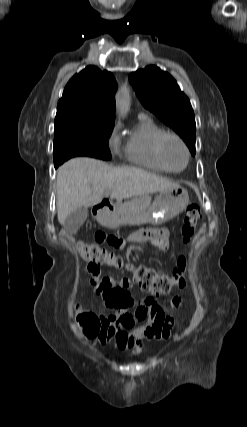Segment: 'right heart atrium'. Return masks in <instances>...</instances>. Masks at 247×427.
<instances>
[{"instance_id": "right-heart-atrium-1", "label": "right heart atrium", "mask_w": 247, "mask_h": 427, "mask_svg": "<svg viewBox=\"0 0 247 427\" xmlns=\"http://www.w3.org/2000/svg\"><path fill=\"white\" fill-rule=\"evenodd\" d=\"M119 130H120V125L116 124L114 126V128L112 129V132L109 136L108 139V144L110 146L111 149L115 150L118 147L119 144Z\"/></svg>"}]
</instances>
